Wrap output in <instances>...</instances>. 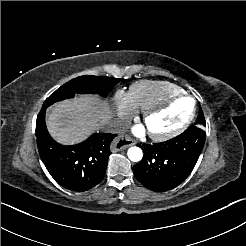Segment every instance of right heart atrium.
I'll return each instance as SVG.
<instances>
[{
    "label": "right heart atrium",
    "mask_w": 246,
    "mask_h": 246,
    "mask_svg": "<svg viewBox=\"0 0 246 246\" xmlns=\"http://www.w3.org/2000/svg\"><path fill=\"white\" fill-rule=\"evenodd\" d=\"M114 104L120 116L129 115L133 111L130 95L122 90L115 93Z\"/></svg>",
    "instance_id": "obj_1"
}]
</instances>
